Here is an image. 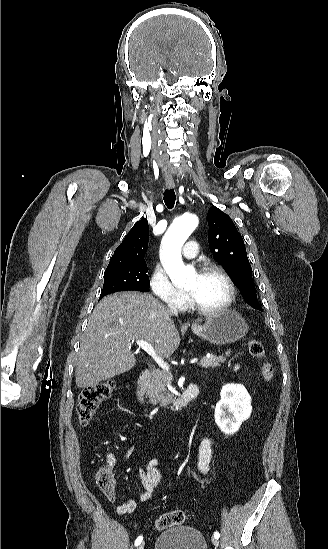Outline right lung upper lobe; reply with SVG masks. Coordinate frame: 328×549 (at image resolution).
<instances>
[{"label":"right lung upper lobe","mask_w":328,"mask_h":549,"mask_svg":"<svg viewBox=\"0 0 328 549\" xmlns=\"http://www.w3.org/2000/svg\"><path fill=\"white\" fill-rule=\"evenodd\" d=\"M148 240V221L146 219H141L134 224L122 243L115 250L105 271L120 268L139 261H145L144 256L146 254Z\"/></svg>","instance_id":"cb5924a9"}]
</instances>
